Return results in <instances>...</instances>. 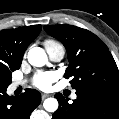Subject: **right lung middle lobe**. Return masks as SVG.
I'll use <instances>...</instances> for the list:
<instances>
[{"instance_id": "dd1d6c3e", "label": "right lung middle lobe", "mask_w": 119, "mask_h": 119, "mask_svg": "<svg viewBox=\"0 0 119 119\" xmlns=\"http://www.w3.org/2000/svg\"><path fill=\"white\" fill-rule=\"evenodd\" d=\"M12 70H0V90L7 89L11 84Z\"/></svg>"}]
</instances>
